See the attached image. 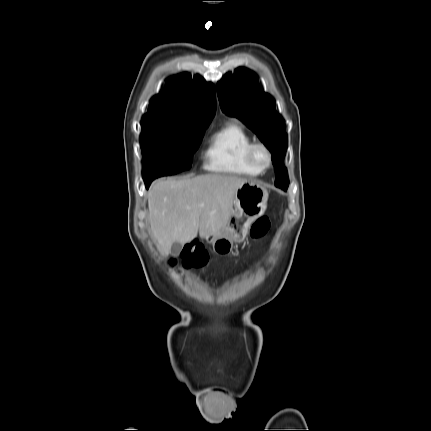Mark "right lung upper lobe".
<instances>
[{
    "mask_svg": "<svg viewBox=\"0 0 431 431\" xmlns=\"http://www.w3.org/2000/svg\"><path fill=\"white\" fill-rule=\"evenodd\" d=\"M215 110L213 84L182 73L167 79L164 90L151 99L142 121L202 127L210 124Z\"/></svg>",
    "mask_w": 431,
    "mask_h": 431,
    "instance_id": "right-lung-upper-lobe-1",
    "label": "right lung upper lobe"
}]
</instances>
